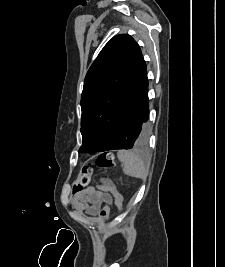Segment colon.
Listing matches in <instances>:
<instances>
[{
    "label": "colon",
    "mask_w": 225,
    "mask_h": 267,
    "mask_svg": "<svg viewBox=\"0 0 225 267\" xmlns=\"http://www.w3.org/2000/svg\"><path fill=\"white\" fill-rule=\"evenodd\" d=\"M114 163H115V157L112 152L100 153L94 162H88L82 167L78 180L75 184V189L78 192H80L89 187L93 175V165H96L100 169H108L112 167ZM123 202L124 199L119 198L118 200L119 208L123 206ZM109 213H110V206L108 203H104L102 209L99 212V217L102 220L107 221L109 218Z\"/></svg>",
    "instance_id": "colon-1"
}]
</instances>
